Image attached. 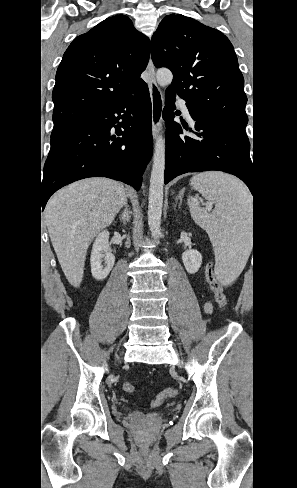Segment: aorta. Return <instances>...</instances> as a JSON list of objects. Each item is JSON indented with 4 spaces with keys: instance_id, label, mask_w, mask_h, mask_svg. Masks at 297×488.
Masks as SVG:
<instances>
[{
    "instance_id": "762f6f07",
    "label": "aorta",
    "mask_w": 297,
    "mask_h": 488,
    "mask_svg": "<svg viewBox=\"0 0 297 488\" xmlns=\"http://www.w3.org/2000/svg\"><path fill=\"white\" fill-rule=\"evenodd\" d=\"M157 83L168 86L173 79L169 69H159L156 73ZM165 170V139L159 135L154 148L153 165L150 178L149 204H148V225L154 239L161 237V216L163 206V185Z\"/></svg>"
}]
</instances>
